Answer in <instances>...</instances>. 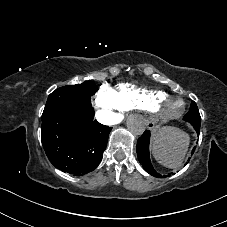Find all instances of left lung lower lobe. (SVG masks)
Returning a JSON list of instances; mask_svg holds the SVG:
<instances>
[{"label":"left lung lower lobe","instance_id":"1","mask_svg":"<svg viewBox=\"0 0 227 227\" xmlns=\"http://www.w3.org/2000/svg\"><path fill=\"white\" fill-rule=\"evenodd\" d=\"M192 126L194 127V129L196 130L199 136L200 125L192 124ZM149 141H150V131L146 130L137 141L136 149H137L138 160L143 165L144 170L147 171L149 174L157 178H163L165 176H162L159 173H157L151 164L150 155H149ZM194 150L195 148L193 149L191 154H193Z\"/></svg>","mask_w":227,"mask_h":227}]
</instances>
